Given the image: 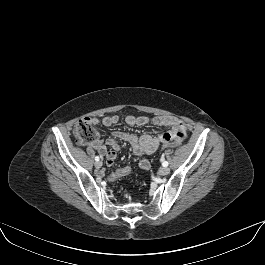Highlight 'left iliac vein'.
Masks as SVG:
<instances>
[{
	"instance_id": "4c4485c4",
	"label": "left iliac vein",
	"mask_w": 265,
	"mask_h": 265,
	"mask_svg": "<svg viewBox=\"0 0 265 265\" xmlns=\"http://www.w3.org/2000/svg\"><path fill=\"white\" fill-rule=\"evenodd\" d=\"M169 172H170V169L168 167H162L158 171L159 175H161V176L168 175Z\"/></svg>"
}]
</instances>
